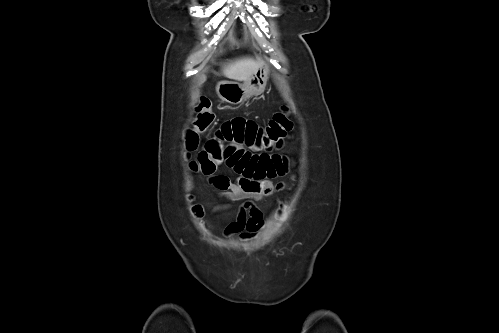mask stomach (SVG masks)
Segmentation results:
<instances>
[{"instance_id":"stomach-1","label":"stomach","mask_w":499,"mask_h":333,"mask_svg":"<svg viewBox=\"0 0 499 333\" xmlns=\"http://www.w3.org/2000/svg\"><path fill=\"white\" fill-rule=\"evenodd\" d=\"M267 66L258 68L243 84L232 81H221L216 86L219 98L229 104L238 105L252 96L263 93L268 81Z\"/></svg>"}]
</instances>
